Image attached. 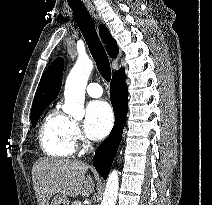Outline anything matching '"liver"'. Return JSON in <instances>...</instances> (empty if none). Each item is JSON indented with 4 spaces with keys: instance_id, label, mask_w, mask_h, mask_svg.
<instances>
[{
    "instance_id": "1",
    "label": "liver",
    "mask_w": 212,
    "mask_h": 205,
    "mask_svg": "<svg viewBox=\"0 0 212 205\" xmlns=\"http://www.w3.org/2000/svg\"><path fill=\"white\" fill-rule=\"evenodd\" d=\"M88 165L79 160L40 158L32 176L39 205H48L54 194L88 197L94 190L93 178L85 176Z\"/></svg>"
}]
</instances>
